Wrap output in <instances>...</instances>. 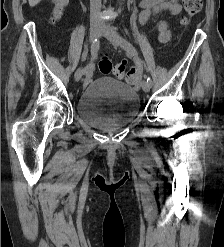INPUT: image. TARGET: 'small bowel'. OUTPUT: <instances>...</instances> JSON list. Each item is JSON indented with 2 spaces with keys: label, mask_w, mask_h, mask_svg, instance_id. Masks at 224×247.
I'll list each match as a JSON object with an SVG mask.
<instances>
[{
  "label": "small bowel",
  "mask_w": 224,
  "mask_h": 247,
  "mask_svg": "<svg viewBox=\"0 0 224 247\" xmlns=\"http://www.w3.org/2000/svg\"><path fill=\"white\" fill-rule=\"evenodd\" d=\"M139 7L141 9L139 22L142 25L147 23L152 16L162 12H168L171 15H178L181 12V5L178 0H141ZM157 29L160 42H167L170 39V31L167 22L160 21L157 25ZM120 64L125 66L124 63ZM130 70L137 74L136 68H131Z\"/></svg>",
  "instance_id": "obj_1"
}]
</instances>
